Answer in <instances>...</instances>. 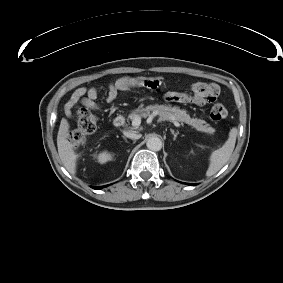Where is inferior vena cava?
Listing matches in <instances>:
<instances>
[{
	"instance_id": "1",
	"label": "inferior vena cava",
	"mask_w": 283,
	"mask_h": 283,
	"mask_svg": "<svg viewBox=\"0 0 283 283\" xmlns=\"http://www.w3.org/2000/svg\"><path fill=\"white\" fill-rule=\"evenodd\" d=\"M124 135L132 140H137L141 138V134H139L136 131H131V130L124 131Z\"/></svg>"
}]
</instances>
